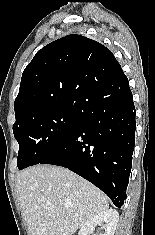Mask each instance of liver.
I'll return each mask as SVG.
<instances>
[{
  "instance_id": "liver-1",
  "label": "liver",
  "mask_w": 155,
  "mask_h": 235,
  "mask_svg": "<svg viewBox=\"0 0 155 235\" xmlns=\"http://www.w3.org/2000/svg\"><path fill=\"white\" fill-rule=\"evenodd\" d=\"M16 187L29 235H73L109 208L98 188L62 167L27 168L17 174Z\"/></svg>"
}]
</instances>
